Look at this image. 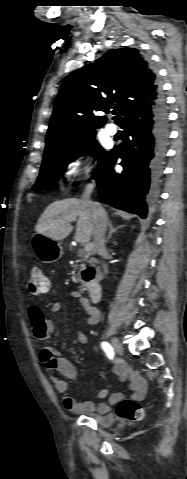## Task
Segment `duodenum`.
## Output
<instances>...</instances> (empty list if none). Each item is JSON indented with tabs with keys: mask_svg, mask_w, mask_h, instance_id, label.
Returning <instances> with one entry per match:
<instances>
[{
	"mask_svg": "<svg viewBox=\"0 0 187 479\" xmlns=\"http://www.w3.org/2000/svg\"><path fill=\"white\" fill-rule=\"evenodd\" d=\"M95 259H91L86 267L85 280L88 283V296L91 302L96 303L101 298L102 288L96 280Z\"/></svg>",
	"mask_w": 187,
	"mask_h": 479,
	"instance_id": "obj_1",
	"label": "duodenum"
}]
</instances>
